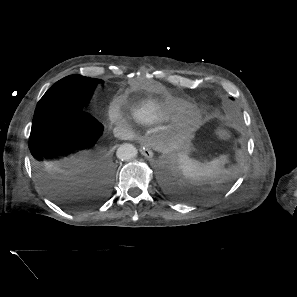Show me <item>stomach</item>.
<instances>
[{
  "instance_id": "stomach-1",
  "label": "stomach",
  "mask_w": 297,
  "mask_h": 297,
  "mask_svg": "<svg viewBox=\"0 0 297 297\" xmlns=\"http://www.w3.org/2000/svg\"><path fill=\"white\" fill-rule=\"evenodd\" d=\"M190 150H191V147H190V145L189 144H186L183 148H182V150H181V154H188L189 152H190Z\"/></svg>"
}]
</instances>
